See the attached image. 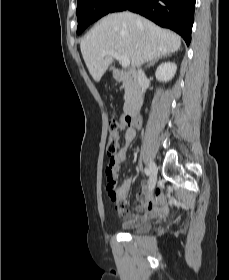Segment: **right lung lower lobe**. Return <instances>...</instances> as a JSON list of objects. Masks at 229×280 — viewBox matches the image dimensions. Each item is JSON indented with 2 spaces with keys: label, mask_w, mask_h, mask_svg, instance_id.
<instances>
[{
  "label": "right lung lower lobe",
  "mask_w": 229,
  "mask_h": 280,
  "mask_svg": "<svg viewBox=\"0 0 229 280\" xmlns=\"http://www.w3.org/2000/svg\"><path fill=\"white\" fill-rule=\"evenodd\" d=\"M195 0H118L111 12L130 10L161 27L174 30L186 44L191 41Z\"/></svg>",
  "instance_id": "right-lung-lower-lobe-1"
}]
</instances>
